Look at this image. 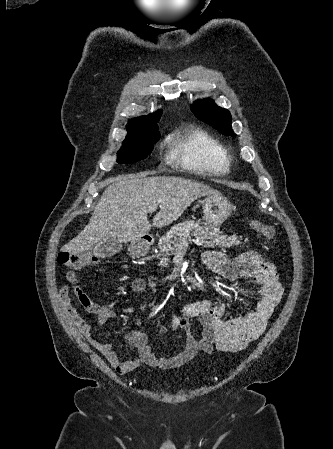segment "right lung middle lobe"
Wrapping results in <instances>:
<instances>
[{"mask_svg": "<svg viewBox=\"0 0 333 449\" xmlns=\"http://www.w3.org/2000/svg\"><path fill=\"white\" fill-rule=\"evenodd\" d=\"M154 118L147 121L142 129L144 137L135 140L123 141L121 149L118 151L117 162L120 164L133 163L146 158L152 151L154 143L158 140L159 132Z\"/></svg>", "mask_w": 333, "mask_h": 449, "instance_id": "obj_1", "label": "right lung middle lobe"}]
</instances>
